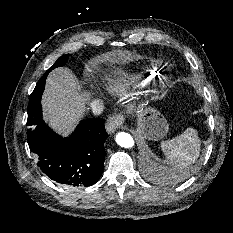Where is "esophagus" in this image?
<instances>
[{"label": "esophagus", "mask_w": 233, "mask_h": 233, "mask_svg": "<svg viewBox=\"0 0 233 233\" xmlns=\"http://www.w3.org/2000/svg\"><path fill=\"white\" fill-rule=\"evenodd\" d=\"M124 120L125 118L122 114H114L109 116L105 124L106 131L109 134L114 133L120 126L124 124Z\"/></svg>", "instance_id": "1"}]
</instances>
